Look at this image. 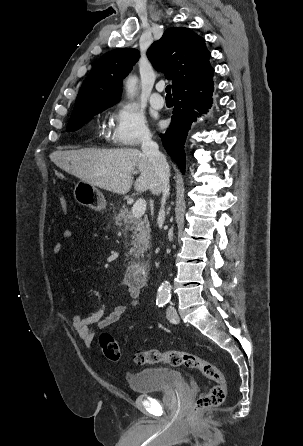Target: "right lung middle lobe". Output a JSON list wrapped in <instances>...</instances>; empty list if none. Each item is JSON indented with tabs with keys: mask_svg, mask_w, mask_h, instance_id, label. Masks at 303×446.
Here are the masks:
<instances>
[{
	"mask_svg": "<svg viewBox=\"0 0 303 446\" xmlns=\"http://www.w3.org/2000/svg\"><path fill=\"white\" fill-rule=\"evenodd\" d=\"M110 107V105L107 106H101L96 107L93 109H90L88 111L73 114L70 117L69 123L67 125L66 131H75L81 128L93 115L103 111L104 109Z\"/></svg>",
	"mask_w": 303,
	"mask_h": 446,
	"instance_id": "1",
	"label": "right lung middle lobe"
}]
</instances>
